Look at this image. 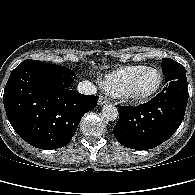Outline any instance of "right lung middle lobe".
<instances>
[{"label":"right lung middle lobe","instance_id":"obj_1","mask_svg":"<svg viewBox=\"0 0 195 195\" xmlns=\"http://www.w3.org/2000/svg\"><path fill=\"white\" fill-rule=\"evenodd\" d=\"M19 66H31L42 71H45L55 79V84L58 88H67L74 81L75 73L63 66L45 63L37 60L27 59Z\"/></svg>","mask_w":195,"mask_h":195}]
</instances>
